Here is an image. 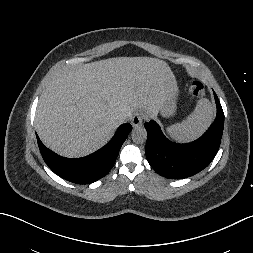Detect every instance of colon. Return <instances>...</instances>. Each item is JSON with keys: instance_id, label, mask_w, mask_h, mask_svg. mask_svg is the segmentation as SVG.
I'll return each instance as SVG.
<instances>
[{"instance_id": "colon-1", "label": "colon", "mask_w": 253, "mask_h": 253, "mask_svg": "<svg viewBox=\"0 0 253 253\" xmlns=\"http://www.w3.org/2000/svg\"><path fill=\"white\" fill-rule=\"evenodd\" d=\"M190 92L195 98H202L205 95V85L200 80H193L190 86Z\"/></svg>"}]
</instances>
